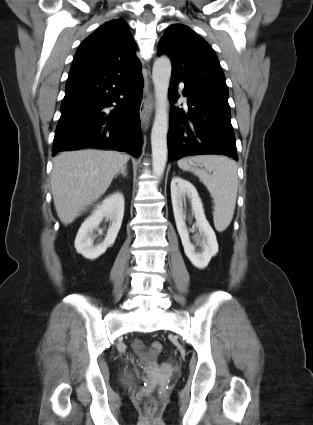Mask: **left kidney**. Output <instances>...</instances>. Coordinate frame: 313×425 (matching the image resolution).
<instances>
[{"mask_svg": "<svg viewBox=\"0 0 313 425\" xmlns=\"http://www.w3.org/2000/svg\"><path fill=\"white\" fill-rule=\"evenodd\" d=\"M186 197L191 203L192 215L196 219L195 226L198 228L203 251L195 252V246L191 243L189 233L185 223ZM171 199L176 227L180 235L184 252L191 263L198 269H204L209 264L211 258L218 252V243L215 232L206 220L203 204L194 185L180 177H174L171 181Z\"/></svg>", "mask_w": 313, "mask_h": 425, "instance_id": "1", "label": "left kidney"}]
</instances>
